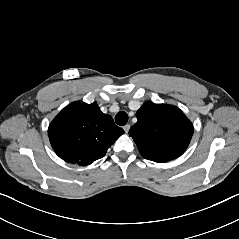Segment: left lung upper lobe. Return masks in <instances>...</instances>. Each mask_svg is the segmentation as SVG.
Segmentation results:
<instances>
[{"mask_svg":"<svg viewBox=\"0 0 239 239\" xmlns=\"http://www.w3.org/2000/svg\"><path fill=\"white\" fill-rule=\"evenodd\" d=\"M136 117L138 121L130 128L129 135L144 158L164 163L187 149L193 125L176 106L147 101Z\"/></svg>","mask_w":239,"mask_h":239,"instance_id":"left-lung-upper-lobe-1","label":"left lung upper lobe"}]
</instances>
